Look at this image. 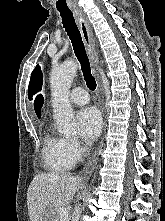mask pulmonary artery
<instances>
[{
	"label": "pulmonary artery",
	"mask_w": 165,
	"mask_h": 221,
	"mask_svg": "<svg viewBox=\"0 0 165 221\" xmlns=\"http://www.w3.org/2000/svg\"><path fill=\"white\" fill-rule=\"evenodd\" d=\"M69 99L73 104L85 105L89 101V96L83 88L77 87L71 91Z\"/></svg>",
	"instance_id": "obj_1"
}]
</instances>
